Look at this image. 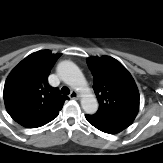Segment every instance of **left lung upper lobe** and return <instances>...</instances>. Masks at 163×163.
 Returning a JSON list of instances; mask_svg holds the SVG:
<instances>
[{
  "instance_id": "left-lung-upper-lobe-1",
  "label": "left lung upper lobe",
  "mask_w": 163,
  "mask_h": 163,
  "mask_svg": "<svg viewBox=\"0 0 163 163\" xmlns=\"http://www.w3.org/2000/svg\"><path fill=\"white\" fill-rule=\"evenodd\" d=\"M87 64L93 74V89L99 102V109L92 116L134 121L140 97L127 69L109 56L90 57Z\"/></svg>"
}]
</instances>
